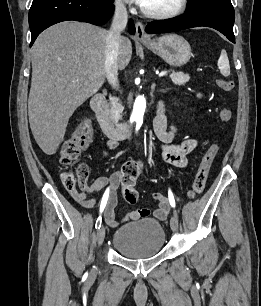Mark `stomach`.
Wrapping results in <instances>:
<instances>
[{
  "mask_svg": "<svg viewBox=\"0 0 261 306\" xmlns=\"http://www.w3.org/2000/svg\"><path fill=\"white\" fill-rule=\"evenodd\" d=\"M142 43L166 63L175 67L185 65L192 55L189 43L177 34H166Z\"/></svg>",
  "mask_w": 261,
  "mask_h": 306,
  "instance_id": "1",
  "label": "stomach"
}]
</instances>
